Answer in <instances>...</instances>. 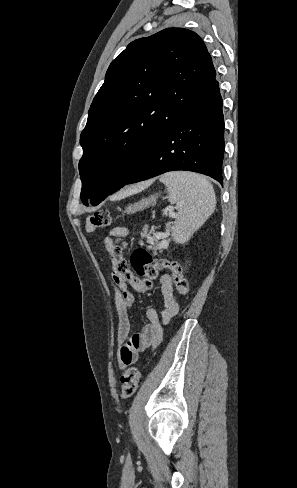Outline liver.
<instances>
[{
	"instance_id": "6515ba94",
	"label": "liver",
	"mask_w": 297,
	"mask_h": 488,
	"mask_svg": "<svg viewBox=\"0 0 297 488\" xmlns=\"http://www.w3.org/2000/svg\"><path fill=\"white\" fill-rule=\"evenodd\" d=\"M150 183L151 182H146V183L139 184V185L135 186L134 188H132V190H130V191L144 189L147 186H149Z\"/></svg>"
}]
</instances>
